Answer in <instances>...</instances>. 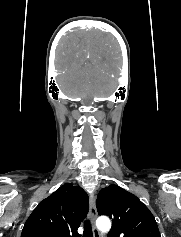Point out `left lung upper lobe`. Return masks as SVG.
<instances>
[{
    "instance_id": "left-lung-upper-lobe-1",
    "label": "left lung upper lobe",
    "mask_w": 181,
    "mask_h": 237,
    "mask_svg": "<svg viewBox=\"0 0 181 237\" xmlns=\"http://www.w3.org/2000/svg\"><path fill=\"white\" fill-rule=\"evenodd\" d=\"M96 207L99 215L112 219L108 237H161L150 210L138 197L118 185L101 189Z\"/></svg>"
}]
</instances>
